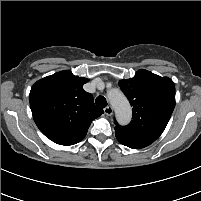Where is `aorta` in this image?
Wrapping results in <instances>:
<instances>
[{
	"instance_id": "aorta-1",
	"label": "aorta",
	"mask_w": 201,
	"mask_h": 201,
	"mask_svg": "<svg viewBox=\"0 0 201 201\" xmlns=\"http://www.w3.org/2000/svg\"><path fill=\"white\" fill-rule=\"evenodd\" d=\"M109 101L114 108L116 118L122 125H126L131 120V106L120 90H115L108 94Z\"/></svg>"
}]
</instances>
